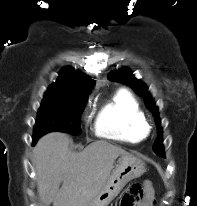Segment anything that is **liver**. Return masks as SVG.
<instances>
[{"mask_svg": "<svg viewBox=\"0 0 197 206\" xmlns=\"http://www.w3.org/2000/svg\"><path fill=\"white\" fill-rule=\"evenodd\" d=\"M69 143L66 134L53 132L41 137L33 150L38 193L46 205L86 206L110 177L115 160L128 154L106 141L93 142L81 152H72Z\"/></svg>", "mask_w": 197, "mask_h": 206, "instance_id": "6515ba94", "label": "liver"}]
</instances>
